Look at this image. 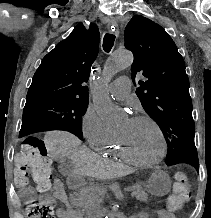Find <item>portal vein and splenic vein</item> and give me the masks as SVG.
Masks as SVG:
<instances>
[{"instance_id":"18ae733b","label":"portal vein and splenic vein","mask_w":211,"mask_h":218,"mask_svg":"<svg viewBox=\"0 0 211 218\" xmlns=\"http://www.w3.org/2000/svg\"><path fill=\"white\" fill-rule=\"evenodd\" d=\"M126 191H130V188L127 186L124 187Z\"/></svg>"}]
</instances>
